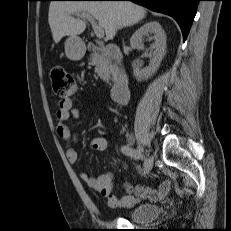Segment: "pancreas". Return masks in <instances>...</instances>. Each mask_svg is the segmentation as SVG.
Segmentation results:
<instances>
[{"instance_id":"pancreas-1","label":"pancreas","mask_w":231,"mask_h":231,"mask_svg":"<svg viewBox=\"0 0 231 231\" xmlns=\"http://www.w3.org/2000/svg\"><path fill=\"white\" fill-rule=\"evenodd\" d=\"M91 64L95 65V72L106 82H109L111 75L114 73V65L106 55L92 54Z\"/></svg>"}]
</instances>
